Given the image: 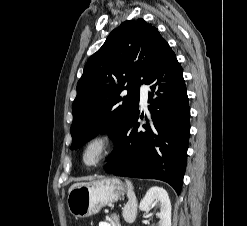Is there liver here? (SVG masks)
Segmentation results:
<instances>
[{
    "instance_id": "liver-1",
    "label": "liver",
    "mask_w": 247,
    "mask_h": 226,
    "mask_svg": "<svg viewBox=\"0 0 247 226\" xmlns=\"http://www.w3.org/2000/svg\"><path fill=\"white\" fill-rule=\"evenodd\" d=\"M75 185H77V184H74L73 186H75ZM73 186L70 187L69 191L72 189Z\"/></svg>"
}]
</instances>
